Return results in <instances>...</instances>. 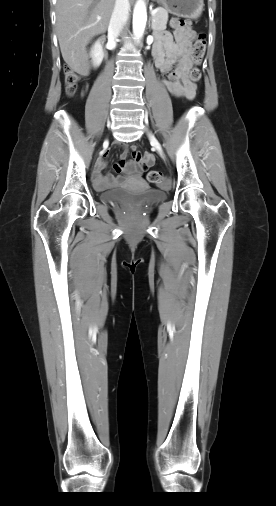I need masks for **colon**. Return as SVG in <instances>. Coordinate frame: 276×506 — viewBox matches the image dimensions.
<instances>
[{
    "instance_id": "5ec220e1",
    "label": "colon",
    "mask_w": 276,
    "mask_h": 506,
    "mask_svg": "<svg viewBox=\"0 0 276 506\" xmlns=\"http://www.w3.org/2000/svg\"><path fill=\"white\" fill-rule=\"evenodd\" d=\"M171 26L175 30H190V20L182 17H174L171 19ZM206 49V38L203 33H199L195 36L193 48L191 51V58L195 64V67L190 72V78L194 82H198L201 79L200 65L202 63ZM80 78L79 75L70 69L65 70V89L68 95H74L77 91ZM147 180L153 184H159L168 186L169 181L159 171H150L147 174Z\"/></svg>"
}]
</instances>
